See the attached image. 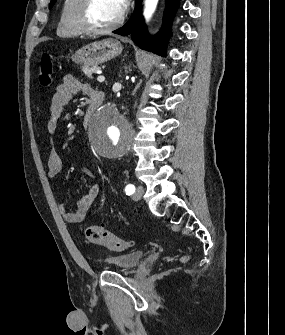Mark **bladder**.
Wrapping results in <instances>:
<instances>
[{"instance_id": "1", "label": "bladder", "mask_w": 285, "mask_h": 335, "mask_svg": "<svg viewBox=\"0 0 285 335\" xmlns=\"http://www.w3.org/2000/svg\"><path fill=\"white\" fill-rule=\"evenodd\" d=\"M146 255L145 251H128L117 255L104 256L105 265H131V270L140 265Z\"/></svg>"}]
</instances>
